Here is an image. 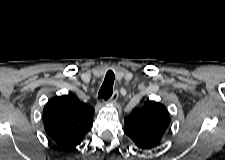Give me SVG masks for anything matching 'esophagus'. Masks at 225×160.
I'll use <instances>...</instances> for the list:
<instances>
[{"mask_svg":"<svg viewBox=\"0 0 225 160\" xmlns=\"http://www.w3.org/2000/svg\"><path fill=\"white\" fill-rule=\"evenodd\" d=\"M118 96H119L118 91L117 90L114 91L112 96H111V98L109 99V102L110 103H115L117 101V99H118Z\"/></svg>","mask_w":225,"mask_h":160,"instance_id":"esophagus-1","label":"esophagus"}]
</instances>
